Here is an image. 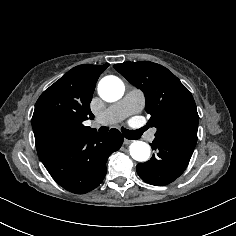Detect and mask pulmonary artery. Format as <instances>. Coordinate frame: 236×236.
<instances>
[{
    "label": "pulmonary artery",
    "mask_w": 236,
    "mask_h": 236,
    "mask_svg": "<svg viewBox=\"0 0 236 236\" xmlns=\"http://www.w3.org/2000/svg\"><path fill=\"white\" fill-rule=\"evenodd\" d=\"M125 117H126L125 114L119 116V117L115 120V123H117V122L123 120ZM155 133H156V129H154V130H152V131H150V132L148 133V139H149L150 141H153V140L155 139Z\"/></svg>",
    "instance_id": "obj_1"
}]
</instances>
